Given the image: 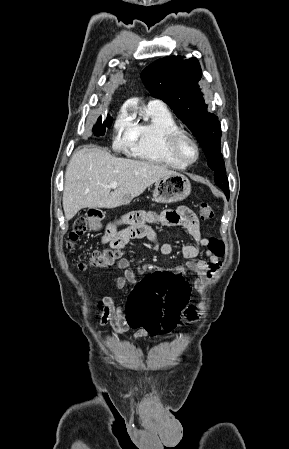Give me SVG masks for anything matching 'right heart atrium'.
Instances as JSON below:
<instances>
[{
	"label": "right heart atrium",
	"instance_id": "obj_1",
	"mask_svg": "<svg viewBox=\"0 0 289 449\" xmlns=\"http://www.w3.org/2000/svg\"><path fill=\"white\" fill-rule=\"evenodd\" d=\"M134 139V122L126 107H122L114 121V143L121 148L132 145Z\"/></svg>",
	"mask_w": 289,
	"mask_h": 449
}]
</instances>
